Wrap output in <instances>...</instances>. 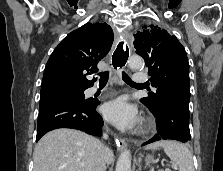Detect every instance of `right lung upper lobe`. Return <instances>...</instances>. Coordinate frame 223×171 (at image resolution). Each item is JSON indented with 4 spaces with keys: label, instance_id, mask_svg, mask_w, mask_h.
<instances>
[{
    "label": "right lung upper lobe",
    "instance_id": "cb5924a9",
    "mask_svg": "<svg viewBox=\"0 0 223 171\" xmlns=\"http://www.w3.org/2000/svg\"><path fill=\"white\" fill-rule=\"evenodd\" d=\"M113 38L106 23H86L69 33L46 64L40 98L93 86L96 79L90 81L85 75L98 71L97 63L109 52Z\"/></svg>",
    "mask_w": 223,
    "mask_h": 171
}]
</instances>
